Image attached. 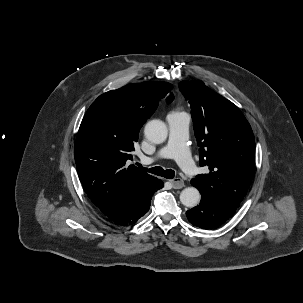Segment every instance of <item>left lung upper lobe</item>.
<instances>
[{
  "mask_svg": "<svg viewBox=\"0 0 303 303\" xmlns=\"http://www.w3.org/2000/svg\"><path fill=\"white\" fill-rule=\"evenodd\" d=\"M179 89L191 105L200 166L208 174L191 184L200 193L215 195L238 208L251 184L255 165V141L250 124L231 101L202 81H181Z\"/></svg>",
  "mask_w": 303,
  "mask_h": 303,
  "instance_id": "1",
  "label": "left lung upper lobe"
}]
</instances>
